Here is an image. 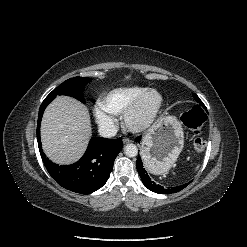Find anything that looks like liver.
Masks as SVG:
<instances>
[{"label": "liver", "instance_id": "6515ba94", "mask_svg": "<svg viewBox=\"0 0 247 247\" xmlns=\"http://www.w3.org/2000/svg\"><path fill=\"white\" fill-rule=\"evenodd\" d=\"M91 137L87 108L77 100L58 96L45 110L41 124L42 147L46 156L69 165L83 155Z\"/></svg>", "mask_w": 247, "mask_h": 247}]
</instances>
